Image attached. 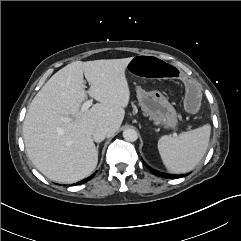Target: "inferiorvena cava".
Instances as JSON below:
<instances>
[{
  "label": "inferior vena cava",
  "instance_id": "1",
  "mask_svg": "<svg viewBox=\"0 0 241 241\" xmlns=\"http://www.w3.org/2000/svg\"><path fill=\"white\" fill-rule=\"evenodd\" d=\"M106 137V131L103 128H97L93 132V140L95 142H102Z\"/></svg>",
  "mask_w": 241,
  "mask_h": 241
}]
</instances>
